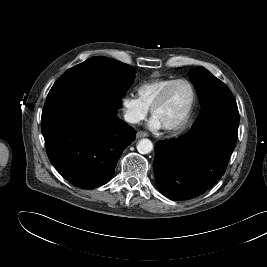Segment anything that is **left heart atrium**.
Segmentation results:
<instances>
[{
    "label": "left heart atrium",
    "mask_w": 267,
    "mask_h": 267,
    "mask_svg": "<svg viewBox=\"0 0 267 267\" xmlns=\"http://www.w3.org/2000/svg\"><path fill=\"white\" fill-rule=\"evenodd\" d=\"M149 125L154 130L162 127L161 123L154 116L151 118Z\"/></svg>",
    "instance_id": "obj_1"
}]
</instances>
